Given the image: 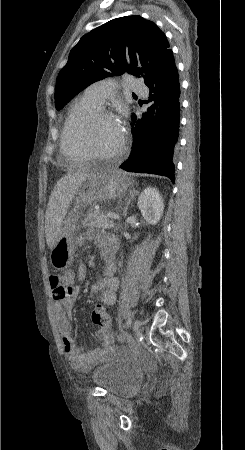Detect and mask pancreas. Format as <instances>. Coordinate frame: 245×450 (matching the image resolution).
Returning <instances> with one entry per match:
<instances>
[{
    "label": "pancreas",
    "instance_id": "pancreas-1",
    "mask_svg": "<svg viewBox=\"0 0 245 450\" xmlns=\"http://www.w3.org/2000/svg\"><path fill=\"white\" fill-rule=\"evenodd\" d=\"M84 227L111 229L115 228L116 224L107 215L98 210L91 209L84 220L81 222Z\"/></svg>",
    "mask_w": 245,
    "mask_h": 450
}]
</instances>
